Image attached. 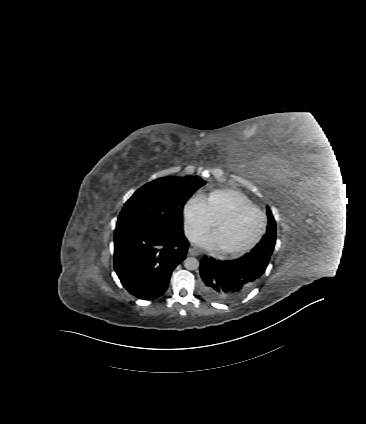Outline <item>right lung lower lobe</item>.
I'll return each instance as SVG.
<instances>
[{
  "label": "right lung lower lobe",
  "instance_id": "1",
  "mask_svg": "<svg viewBox=\"0 0 366 424\" xmlns=\"http://www.w3.org/2000/svg\"><path fill=\"white\" fill-rule=\"evenodd\" d=\"M188 247L183 232L168 234L154 227H116V274L134 296L154 299L167 289L170 275L185 259Z\"/></svg>",
  "mask_w": 366,
  "mask_h": 424
}]
</instances>
